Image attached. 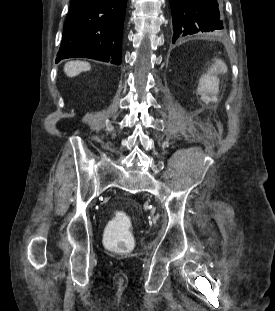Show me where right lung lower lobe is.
<instances>
[{
	"label": "right lung lower lobe",
	"instance_id": "obj_1",
	"mask_svg": "<svg viewBox=\"0 0 275 311\" xmlns=\"http://www.w3.org/2000/svg\"><path fill=\"white\" fill-rule=\"evenodd\" d=\"M126 0H72L56 63L85 57L121 64Z\"/></svg>",
	"mask_w": 275,
	"mask_h": 311
}]
</instances>
